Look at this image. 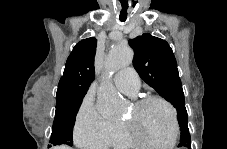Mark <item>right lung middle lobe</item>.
Segmentation results:
<instances>
[{"label": "right lung middle lobe", "mask_w": 227, "mask_h": 149, "mask_svg": "<svg viewBox=\"0 0 227 149\" xmlns=\"http://www.w3.org/2000/svg\"><path fill=\"white\" fill-rule=\"evenodd\" d=\"M83 98L65 100L56 103L55 119L52 127L50 143L52 145L72 146V131L75 124L76 114Z\"/></svg>", "instance_id": "dd1d6c3e"}]
</instances>
